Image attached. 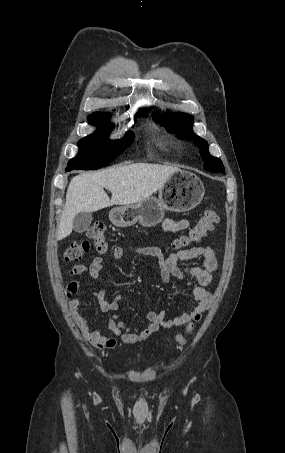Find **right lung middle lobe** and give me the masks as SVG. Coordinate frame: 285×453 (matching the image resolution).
<instances>
[{"instance_id":"right-lung-middle-lobe-1","label":"right lung middle lobe","mask_w":285,"mask_h":453,"mask_svg":"<svg viewBox=\"0 0 285 453\" xmlns=\"http://www.w3.org/2000/svg\"><path fill=\"white\" fill-rule=\"evenodd\" d=\"M137 117H147V112H140ZM89 121L95 125H102L108 121V114L94 113L89 116ZM111 126H105L96 133L88 135L78 142L80 148L78 155L68 162L69 171L74 169H98L106 166L121 154L124 148L133 142L134 134L130 131L127 135L116 141H108L107 136Z\"/></svg>"}]
</instances>
